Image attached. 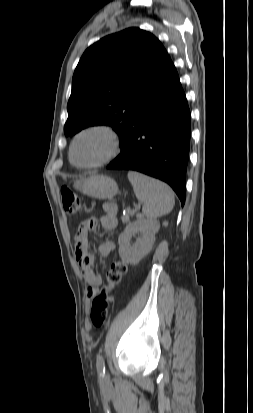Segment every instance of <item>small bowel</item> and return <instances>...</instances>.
<instances>
[{
  "instance_id": "small-bowel-1",
  "label": "small bowel",
  "mask_w": 253,
  "mask_h": 413,
  "mask_svg": "<svg viewBox=\"0 0 253 413\" xmlns=\"http://www.w3.org/2000/svg\"><path fill=\"white\" fill-rule=\"evenodd\" d=\"M103 215L100 217V224L105 230H113L117 225L118 207L115 203L107 202L103 204ZM97 220L93 217L84 220L78 228L75 237L76 260L82 269V274L88 284L87 295L92 298L98 293L101 277L94 270L96 256L89 248L88 234L95 229ZM114 250V243L105 240L99 245L98 252L102 258L109 257ZM114 288L112 285L109 287Z\"/></svg>"
}]
</instances>
